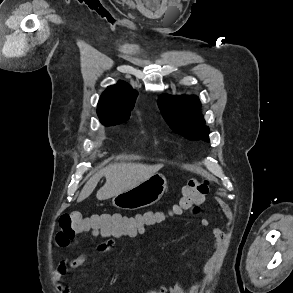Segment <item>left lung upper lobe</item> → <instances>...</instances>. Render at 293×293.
<instances>
[{"mask_svg": "<svg viewBox=\"0 0 293 293\" xmlns=\"http://www.w3.org/2000/svg\"><path fill=\"white\" fill-rule=\"evenodd\" d=\"M158 105L174 132L191 140L209 141V129L204 126L197 97L163 95L159 98Z\"/></svg>", "mask_w": 293, "mask_h": 293, "instance_id": "left-lung-upper-lobe-1", "label": "left lung upper lobe"}]
</instances>
